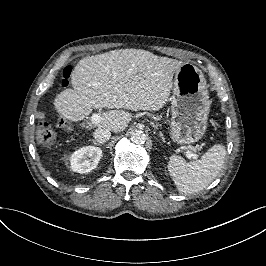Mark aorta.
Instances as JSON below:
<instances>
[{
    "label": "aorta",
    "mask_w": 266,
    "mask_h": 266,
    "mask_svg": "<svg viewBox=\"0 0 266 266\" xmlns=\"http://www.w3.org/2000/svg\"><path fill=\"white\" fill-rule=\"evenodd\" d=\"M145 140H146V133L144 131L136 130L131 133V141L134 144L138 145L144 144Z\"/></svg>",
    "instance_id": "obj_1"
}]
</instances>
